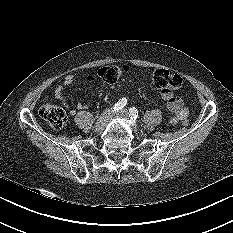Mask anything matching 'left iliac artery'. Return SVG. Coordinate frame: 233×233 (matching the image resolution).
<instances>
[{
    "label": "left iliac artery",
    "mask_w": 233,
    "mask_h": 233,
    "mask_svg": "<svg viewBox=\"0 0 233 233\" xmlns=\"http://www.w3.org/2000/svg\"><path fill=\"white\" fill-rule=\"evenodd\" d=\"M129 116L132 120H136L138 118V110L135 107H131L129 109Z\"/></svg>",
    "instance_id": "obj_1"
}]
</instances>
